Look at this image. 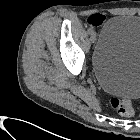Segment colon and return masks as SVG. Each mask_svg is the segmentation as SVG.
Returning a JSON list of instances; mask_svg holds the SVG:
<instances>
[{"label":"colon","instance_id":"obj_1","mask_svg":"<svg viewBox=\"0 0 140 140\" xmlns=\"http://www.w3.org/2000/svg\"><path fill=\"white\" fill-rule=\"evenodd\" d=\"M109 104L116 113L122 116H132L134 113L133 105L129 100L113 97Z\"/></svg>","mask_w":140,"mask_h":140}]
</instances>
